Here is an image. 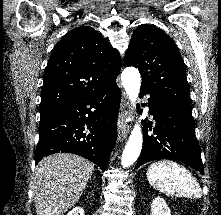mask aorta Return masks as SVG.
<instances>
[{"mask_svg": "<svg viewBox=\"0 0 221 215\" xmlns=\"http://www.w3.org/2000/svg\"><path fill=\"white\" fill-rule=\"evenodd\" d=\"M121 79L129 100L135 106L141 86L139 71L135 67H127L122 72ZM142 144L143 135L141 127L139 124H135L122 153L121 165L124 168L131 166L137 160L142 149Z\"/></svg>", "mask_w": 221, "mask_h": 215, "instance_id": "762f6f07", "label": "aorta"}]
</instances>
